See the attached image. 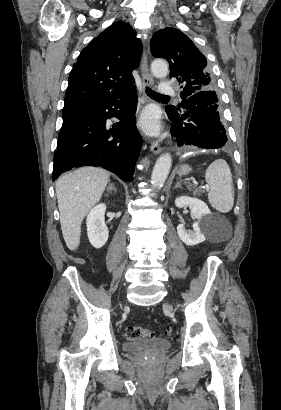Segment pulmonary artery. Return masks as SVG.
Instances as JSON below:
<instances>
[{"label": "pulmonary artery", "instance_id": "e3ab8cb5", "mask_svg": "<svg viewBox=\"0 0 281 410\" xmlns=\"http://www.w3.org/2000/svg\"><path fill=\"white\" fill-rule=\"evenodd\" d=\"M159 90L162 94H173L175 93V86L170 83H164L160 86Z\"/></svg>", "mask_w": 281, "mask_h": 410}]
</instances>
